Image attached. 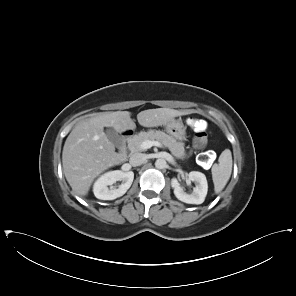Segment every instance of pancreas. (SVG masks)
Listing matches in <instances>:
<instances>
[{
  "instance_id": "obj_1",
  "label": "pancreas",
  "mask_w": 296,
  "mask_h": 296,
  "mask_svg": "<svg viewBox=\"0 0 296 296\" xmlns=\"http://www.w3.org/2000/svg\"><path fill=\"white\" fill-rule=\"evenodd\" d=\"M145 140H157L165 145L176 158L183 159L185 157L184 143L176 141L162 131L140 132L132 139L130 146L134 151H141V143Z\"/></svg>"
}]
</instances>
